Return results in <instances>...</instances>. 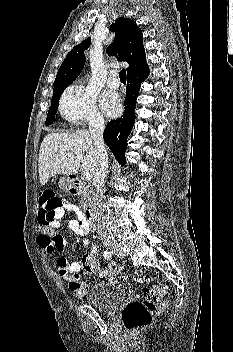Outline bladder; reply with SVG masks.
<instances>
[{
    "label": "bladder",
    "instance_id": "bladder-1",
    "mask_svg": "<svg viewBox=\"0 0 233 352\" xmlns=\"http://www.w3.org/2000/svg\"><path fill=\"white\" fill-rule=\"evenodd\" d=\"M125 298L126 292L121 284L101 282L91 289L88 303L105 314H114Z\"/></svg>",
    "mask_w": 233,
    "mask_h": 352
}]
</instances>
